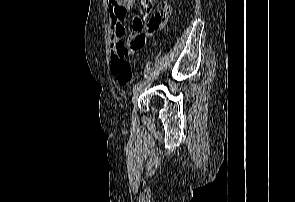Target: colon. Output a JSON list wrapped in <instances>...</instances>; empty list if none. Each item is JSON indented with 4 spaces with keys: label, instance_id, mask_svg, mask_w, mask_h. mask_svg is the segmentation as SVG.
Masks as SVG:
<instances>
[{
    "label": "colon",
    "instance_id": "obj_1",
    "mask_svg": "<svg viewBox=\"0 0 295 202\" xmlns=\"http://www.w3.org/2000/svg\"><path fill=\"white\" fill-rule=\"evenodd\" d=\"M128 51L126 49L118 50L111 63V73L117 83L125 86L132 80L131 65L127 59Z\"/></svg>",
    "mask_w": 295,
    "mask_h": 202
}]
</instances>
